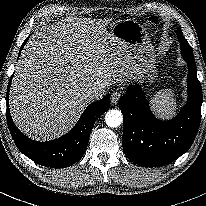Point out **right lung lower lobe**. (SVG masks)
Segmentation results:
<instances>
[{
  "label": "right lung lower lobe",
  "mask_w": 206,
  "mask_h": 206,
  "mask_svg": "<svg viewBox=\"0 0 206 206\" xmlns=\"http://www.w3.org/2000/svg\"><path fill=\"white\" fill-rule=\"evenodd\" d=\"M29 38V37H28ZM24 41L21 49L26 44ZM13 76V75H12ZM7 88L6 118L11 136L17 148L39 165L51 168H65L76 163L84 155L91 130L97 118L104 114L110 105V95L92 103L81 115L77 124L64 136L47 142H37L25 136L14 124L9 112V88Z\"/></svg>",
  "instance_id": "right-lung-lower-lobe-1"
}]
</instances>
